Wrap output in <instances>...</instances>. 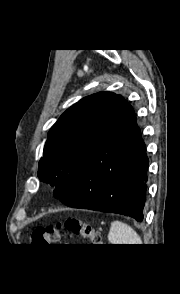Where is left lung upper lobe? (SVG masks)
<instances>
[{"mask_svg": "<svg viewBox=\"0 0 180 294\" xmlns=\"http://www.w3.org/2000/svg\"><path fill=\"white\" fill-rule=\"evenodd\" d=\"M130 107L120 95L99 92L81 99L52 126L39 162L38 177L55 186L54 197L63 198Z\"/></svg>", "mask_w": 180, "mask_h": 294, "instance_id": "5c2ea615", "label": "left lung upper lobe"}]
</instances>
